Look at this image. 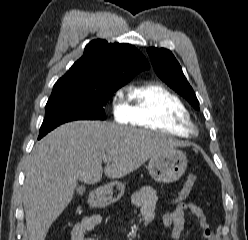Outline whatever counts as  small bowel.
I'll return each mask as SVG.
<instances>
[{
	"instance_id": "obj_1",
	"label": "small bowel",
	"mask_w": 248,
	"mask_h": 240,
	"mask_svg": "<svg viewBox=\"0 0 248 240\" xmlns=\"http://www.w3.org/2000/svg\"><path fill=\"white\" fill-rule=\"evenodd\" d=\"M132 201L140 208L145 224H151L155 221V209L158 195L154 188L151 186L140 188L133 194ZM186 212H190L197 219L198 226L206 240H217L216 235L210 228L201 207L191 202L178 203L173 210L167 212L162 218L163 225L167 228H171V236L173 240H179L183 233L185 224L184 215ZM100 221V215L84 217L72 227L71 240H98L94 237L87 236L86 233L98 225Z\"/></svg>"
}]
</instances>
